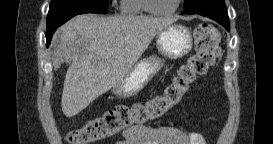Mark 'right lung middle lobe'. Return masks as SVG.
<instances>
[{"mask_svg": "<svg viewBox=\"0 0 273 144\" xmlns=\"http://www.w3.org/2000/svg\"><path fill=\"white\" fill-rule=\"evenodd\" d=\"M107 9V0H51L47 16V32L54 28L58 20L72 13L105 14Z\"/></svg>", "mask_w": 273, "mask_h": 144, "instance_id": "obj_1", "label": "right lung middle lobe"}]
</instances>
